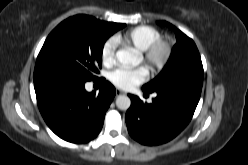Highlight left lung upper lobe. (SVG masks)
I'll use <instances>...</instances> for the list:
<instances>
[{
    "label": "left lung upper lobe",
    "mask_w": 248,
    "mask_h": 165,
    "mask_svg": "<svg viewBox=\"0 0 248 165\" xmlns=\"http://www.w3.org/2000/svg\"><path fill=\"white\" fill-rule=\"evenodd\" d=\"M159 24L165 25L175 32L177 43L163 70L152 81L145 84L142 90L147 93L172 87L180 90L187 88L201 90L204 71L194 41L166 21H160Z\"/></svg>",
    "instance_id": "obj_1"
}]
</instances>
